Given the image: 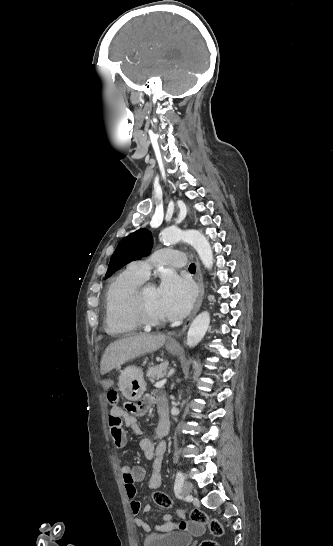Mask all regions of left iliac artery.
I'll list each match as a JSON object with an SVG mask.
<instances>
[{"label": "left iliac artery", "instance_id": "44dca946", "mask_svg": "<svg viewBox=\"0 0 333 546\" xmlns=\"http://www.w3.org/2000/svg\"><path fill=\"white\" fill-rule=\"evenodd\" d=\"M183 482H184V475L181 471H178L176 474L175 485H174L175 492L181 489Z\"/></svg>", "mask_w": 333, "mask_h": 546}]
</instances>
